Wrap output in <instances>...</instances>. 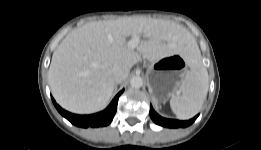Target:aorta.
<instances>
[{"label":"aorta","instance_id":"aorta-1","mask_svg":"<svg viewBox=\"0 0 261 150\" xmlns=\"http://www.w3.org/2000/svg\"><path fill=\"white\" fill-rule=\"evenodd\" d=\"M130 85L132 88H140L143 85V79L140 76H134L130 80Z\"/></svg>","mask_w":261,"mask_h":150}]
</instances>
